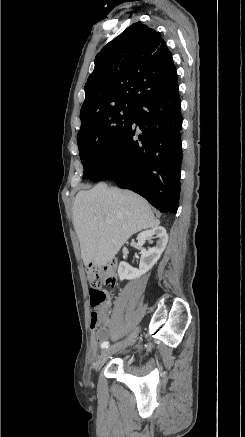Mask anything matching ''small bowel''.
Wrapping results in <instances>:
<instances>
[{
  "label": "small bowel",
  "instance_id": "small-bowel-1",
  "mask_svg": "<svg viewBox=\"0 0 245 437\" xmlns=\"http://www.w3.org/2000/svg\"><path fill=\"white\" fill-rule=\"evenodd\" d=\"M106 307H104V309H103V313H105L106 312ZM90 325H91V328H92V330L94 329V327H95V325L93 324V322H92V319H90ZM107 335H108V332H107V330H106V333H105V335L103 336V337H101V338H96L95 336H94V334H93V340H92V345H93V347L94 348H96L97 347V344H98V342L100 341V340H102V339H104V338H106L107 337Z\"/></svg>",
  "mask_w": 245,
  "mask_h": 437
}]
</instances>
